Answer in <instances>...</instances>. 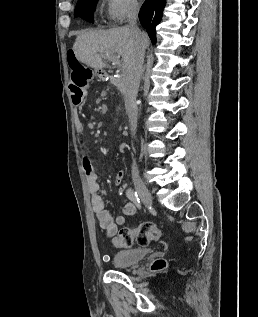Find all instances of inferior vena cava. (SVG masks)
<instances>
[{"label":"inferior vena cava","mask_w":258,"mask_h":317,"mask_svg":"<svg viewBox=\"0 0 258 317\" xmlns=\"http://www.w3.org/2000/svg\"><path fill=\"white\" fill-rule=\"evenodd\" d=\"M138 10L139 8L136 0H131L128 6V26L132 34L134 54L129 62V66L126 70V76L124 78V98L126 112L129 116V122L133 136L136 132L137 126L136 96L138 92V86L140 84V76L143 70L142 66L145 52V44L143 42L141 30H139L136 24ZM132 171L133 178L139 179V174L137 172V165L135 161H133Z\"/></svg>","instance_id":"inferior-vena-cava-1"}]
</instances>
